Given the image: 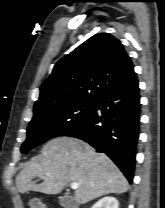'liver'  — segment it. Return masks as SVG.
<instances>
[{"label": "liver", "instance_id": "6515ba94", "mask_svg": "<svg viewBox=\"0 0 165 208\" xmlns=\"http://www.w3.org/2000/svg\"><path fill=\"white\" fill-rule=\"evenodd\" d=\"M43 180L36 184L34 178ZM69 182H76L75 201L85 204L101 196L128 190L129 185L118 167L103 153L86 142L58 137L46 143L41 154L25 164L16 178L20 193L30 190L55 195Z\"/></svg>", "mask_w": 165, "mask_h": 208}]
</instances>
